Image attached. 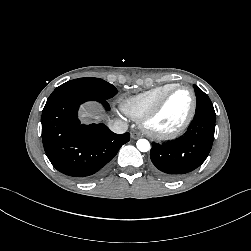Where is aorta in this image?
Wrapping results in <instances>:
<instances>
[{
  "label": "aorta",
  "instance_id": "762f6f07",
  "mask_svg": "<svg viewBox=\"0 0 251 251\" xmlns=\"http://www.w3.org/2000/svg\"><path fill=\"white\" fill-rule=\"evenodd\" d=\"M136 145L138 150L141 152H147L150 149V143L146 139H139Z\"/></svg>",
  "mask_w": 251,
  "mask_h": 251
}]
</instances>
